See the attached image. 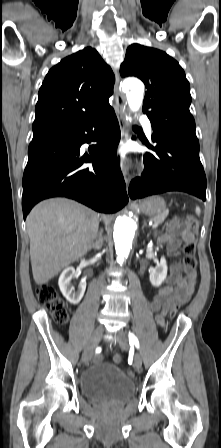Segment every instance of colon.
<instances>
[{
  "mask_svg": "<svg viewBox=\"0 0 221 448\" xmlns=\"http://www.w3.org/2000/svg\"><path fill=\"white\" fill-rule=\"evenodd\" d=\"M187 234L194 238L198 231V221L194 217L185 220ZM183 266L187 271L195 270L197 260L195 256V243L193 239L186 241L182 248ZM37 298L52 314L54 320L59 324H64L68 320V310L65 303L60 299L56 289L50 284H43L37 290ZM176 308L171 310V315L175 314ZM97 363H102L101 357L97 358ZM113 362H121V356L115 355Z\"/></svg>",
  "mask_w": 221,
  "mask_h": 448,
  "instance_id": "colon-1",
  "label": "colon"
}]
</instances>
